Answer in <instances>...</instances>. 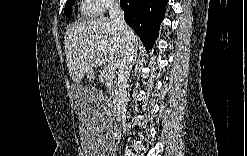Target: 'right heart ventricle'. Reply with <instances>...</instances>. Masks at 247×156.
<instances>
[{
  "mask_svg": "<svg viewBox=\"0 0 247 156\" xmlns=\"http://www.w3.org/2000/svg\"><path fill=\"white\" fill-rule=\"evenodd\" d=\"M81 12L84 14V15H93L96 13V8L94 5H92L90 2H87V3H84L83 6H82V9H81Z\"/></svg>",
  "mask_w": 247,
  "mask_h": 156,
  "instance_id": "1",
  "label": "right heart ventricle"
}]
</instances>
